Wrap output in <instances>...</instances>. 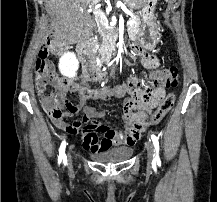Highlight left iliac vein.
Returning a JSON list of instances; mask_svg holds the SVG:
<instances>
[{"mask_svg":"<svg viewBox=\"0 0 217 202\" xmlns=\"http://www.w3.org/2000/svg\"><path fill=\"white\" fill-rule=\"evenodd\" d=\"M146 150H147V158L149 161V164L152 165L154 162V155H155V149L151 142L147 141L146 144Z\"/></svg>","mask_w":217,"mask_h":202,"instance_id":"4c4485c4","label":"left iliac vein"}]
</instances>
